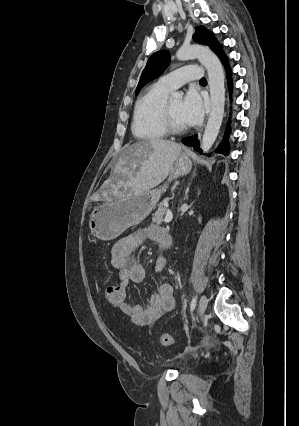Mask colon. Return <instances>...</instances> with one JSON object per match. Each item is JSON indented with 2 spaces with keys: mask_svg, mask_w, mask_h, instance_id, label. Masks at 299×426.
<instances>
[{
  "mask_svg": "<svg viewBox=\"0 0 299 426\" xmlns=\"http://www.w3.org/2000/svg\"><path fill=\"white\" fill-rule=\"evenodd\" d=\"M103 296L112 308L121 310L126 301V290L118 283L110 284L104 289ZM159 342L163 346H171L174 344V338L170 334H162Z\"/></svg>",
  "mask_w": 299,
  "mask_h": 426,
  "instance_id": "colon-1",
  "label": "colon"
}]
</instances>
